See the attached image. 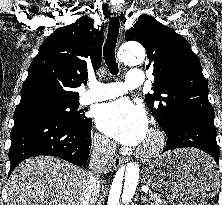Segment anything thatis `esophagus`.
Listing matches in <instances>:
<instances>
[{"instance_id":"1","label":"esophagus","mask_w":222,"mask_h":205,"mask_svg":"<svg viewBox=\"0 0 222 205\" xmlns=\"http://www.w3.org/2000/svg\"><path fill=\"white\" fill-rule=\"evenodd\" d=\"M121 11H122V9H121L120 6H113L111 8V13L115 17L120 16ZM113 162H114V165L118 167V166H120L121 164H123L125 162V159L122 158V157L117 156L116 158H114Z\"/></svg>"}]
</instances>
